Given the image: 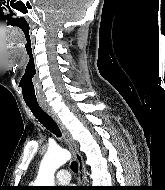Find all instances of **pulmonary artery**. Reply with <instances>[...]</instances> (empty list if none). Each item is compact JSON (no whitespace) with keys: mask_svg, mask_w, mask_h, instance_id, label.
Masks as SVG:
<instances>
[{"mask_svg":"<svg viewBox=\"0 0 165 190\" xmlns=\"http://www.w3.org/2000/svg\"><path fill=\"white\" fill-rule=\"evenodd\" d=\"M56 180L59 184H67L71 180V175L68 170L61 169L56 173Z\"/></svg>","mask_w":165,"mask_h":190,"instance_id":"e3ab8cb5","label":"pulmonary artery"}]
</instances>
